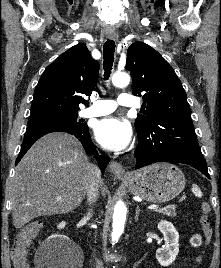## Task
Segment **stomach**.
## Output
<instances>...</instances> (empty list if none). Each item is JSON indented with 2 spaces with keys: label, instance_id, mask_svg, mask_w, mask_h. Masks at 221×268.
I'll use <instances>...</instances> for the list:
<instances>
[{
  "label": "stomach",
  "instance_id": "1",
  "mask_svg": "<svg viewBox=\"0 0 221 268\" xmlns=\"http://www.w3.org/2000/svg\"><path fill=\"white\" fill-rule=\"evenodd\" d=\"M129 191L147 201L164 203L185 187L183 172L170 163H157L135 171L124 179Z\"/></svg>",
  "mask_w": 221,
  "mask_h": 268
}]
</instances>
